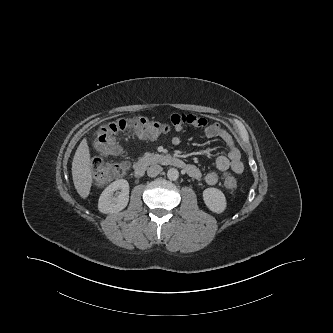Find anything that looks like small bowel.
I'll return each mask as SVG.
<instances>
[{
  "mask_svg": "<svg viewBox=\"0 0 333 333\" xmlns=\"http://www.w3.org/2000/svg\"><path fill=\"white\" fill-rule=\"evenodd\" d=\"M171 122L177 133H181L185 125L203 128L207 138L220 139L227 147V153L216 158L215 168L207 171L204 175L195 165H190L191 168L188 173L192 178L196 180L203 178L207 184L214 185L218 182L221 173L231 170L235 174H240L243 171L244 165L241 160L240 151L233 137L219 124L210 123L207 119L202 117L179 113L171 115ZM180 142L181 140L178 135L173 136L172 143L174 145H179Z\"/></svg>",
  "mask_w": 333,
  "mask_h": 333,
  "instance_id": "small-bowel-1",
  "label": "small bowel"
}]
</instances>
